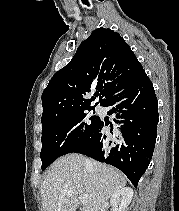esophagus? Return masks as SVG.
I'll use <instances>...</instances> for the list:
<instances>
[{
	"instance_id": "esophagus-1",
	"label": "esophagus",
	"mask_w": 179,
	"mask_h": 211,
	"mask_svg": "<svg viewBox=\"0 0 179 211\" xmlns=\"http://www.w3.org/2000/svg\"><path fill=\"white\" fill-rule=\"evenodd\" d=\"M114 98H119L120 94L119 93H114L113 94ZM114 106H117V108H120V106L122 105L121 101H114L113 102ZM112 141H118V136L116 133H107L105 136V144L106 145H111Z\"/></svg>"
}]
</instances>
